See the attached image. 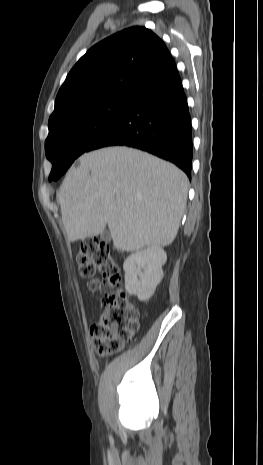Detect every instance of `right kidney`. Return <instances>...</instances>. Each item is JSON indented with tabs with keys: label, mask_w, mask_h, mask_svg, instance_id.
<instances>
[{
	"label": "right kidney",
	"mask_w": 263,
	"mask_h": 465,
	"mask_svg": "<svg viewBox=\"0 0 263 465\" xmlns=\"http://www.w3.org/2000/svg\"><path fill=\"white\" fill-rule=\"evenodd\" d=\"M166 260V252L159 246L148 247L128 256L123 264L127 292L137 295L141 301L148 300L163 278L162 266Z\"/></svg>",
	"instance_id": "right-kidney-1"
}]
</instances>
